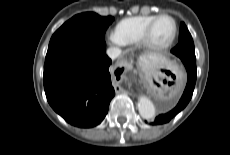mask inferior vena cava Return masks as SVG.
I'll use <instances>...</instances> for the list:
<instances>
[{"mask_svg":"<svg viewBox=\"0 0 230 155\" xmlns=\"http://www.w3.org/2000/svg\"><path fill=\"white\" fill-rule=\"evenodd\" d=\"M121 49L117 48V47H110L107 49L106 53L108 55L109 58L116 59L120 54H121Z\"/></svg>","mask_w":230,"mask_h":155,"instance_id":"1","label":"inferior vena cava"}]
</instances>
